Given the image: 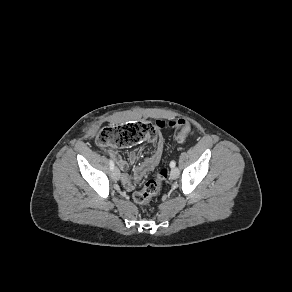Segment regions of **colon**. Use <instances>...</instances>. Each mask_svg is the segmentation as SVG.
Returning a JSON list of instances; mask_svg holds the SVG:
<instances>
[{
	"label": "colon",
	"mask_w": 292,
	"mask_h": 292,
	"mask_svg": "<svg viewBox=\"0 0 292 292\" xmlns=\"http://www.w3.org/2000/svg\"><path fill=\"white\" fill-rule=\"evenodd\" d=\"M165 125L164 122L155 125L148 121H134L106 126L97 134L95 143L99 146L125 147L142 140H155L159 135L158 128ZM168 126L173 129L172 137L179 142L190 138L194 131L191 123L185 119L170 121ZM167 174L165 168L160 169L154 179L148 180L141 190L134 193V201L140 205L150 202L160 192L162 182L167 178Z\"/></svg>",
	"instance_id": "5ec220e1"
}]
</instances>
